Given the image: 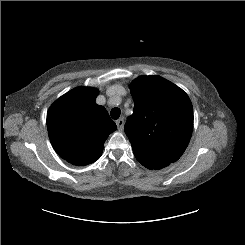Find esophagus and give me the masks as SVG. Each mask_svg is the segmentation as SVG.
Listing matches in <instances>:
<instances>
[{
  "instance_id": "34e87169",
  "label": "esophagus",
  "mask_w": 245,
  "mask_h": 245,
  "mask_svg": "<svg viewBox=\"0 0 245 245\" xmlns=\"http://www.w3.org/2000/svg\"><path fill=\"white\" fill-rule=\"evenodd\" d=\"M124 123H125V122H124L123 117L120 118V119H118V120L116 121L117 128H118V130H119L120 132H122L123 129H124Z\"/></svg>"
}]
</instances>
